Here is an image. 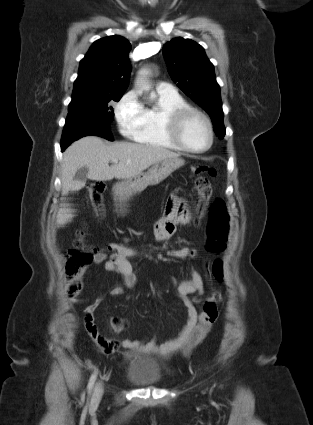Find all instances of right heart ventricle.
I'll return each instance as SVG.
<instances>
[{
	"label": "right heart ventricle",
	"instance_id": "right-heart-ventricle-1",
	"mask_svg": "<svg viewBox=\"0 0 313 425\" xmlns=\"http://www.w3.org/2000/svg\"><path fill=\"white\" fill-rule=\"evenodd\" d=\"M185 106H188L186 101L177 92L165 93L156 89L154 102L144 107L143 125L133 139L148 146L181 151L169 136L167 116Z\"/></svg>",
	"mask_w": 313,
	"mask_h": 425
}]
</instances>
